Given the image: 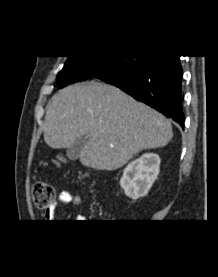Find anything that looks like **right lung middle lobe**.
<instances>
[{
  "mask_svg": "<svg viewBox=\"0 0 218 277\" xmlns=\"http://www.w3.org/2000/svg\"><path fill=\"white\" fill-rule=\"evenodd\" d=\"M151 56H69L57 76L59 88L82 80L83 75L97 74L108 83H125L140 71Z\"/></svg>",
  "mask_w": 218,
  "mask_h": 277,
  "instance_id": "obj_1",
  "label": "right lung middle lobe"
}]
</instances>
